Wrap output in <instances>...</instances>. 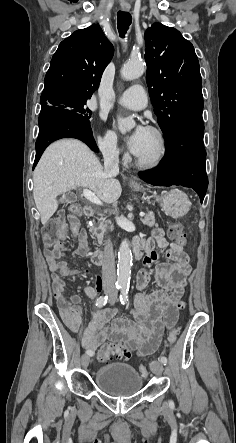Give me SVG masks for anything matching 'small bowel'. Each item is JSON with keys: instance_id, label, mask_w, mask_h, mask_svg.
<instances>
[{"instance_id": "1", "label": "small bowel", "mask_w": 236, "mask_h": 443, "mask_svg": "<svg viewBox=\"0 0 236 443\" xmlns=\"http://www.w3.org/2000/svg\"><path fill=\"white\" fill-rule=\"evenodd\" d=\"M77 237V249L73 251L75 258L85 257L88 253V238L85 231L73 233ZM66 239L65 235L62 237ZM134 245L145 249V265L151 264L159 257L155 250L157 245L161 255L172 260V263H160L156 267L155 277L160 289L145 294L151 272L144 268L136 277L137 293L134 297V321L117 318L114 309L97 310L84 331L82 325V297L67 295L65 276H75L80 270L72 268L66 261L60 260L53 250H47L45 257L51 273V283L61 317L71 332L81 333L82 345L94 352L99 344L111 340L127 344L137 350L140 355H149L157 349L165 330L173 328L177 322L178 310L184 306L182 300L186 278L191 272L188 255L183 247L176 242L168 243L163 229H155L152 238L136 239ZM89 274V270L83 271ZM94 286L84 288L88 297L95 299L102 291L103 284L99 276L94 277Z\"/></svg>"}]
</instances>
